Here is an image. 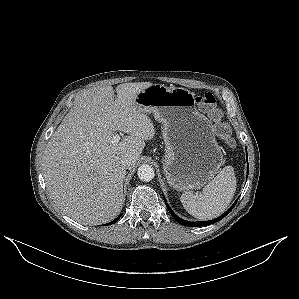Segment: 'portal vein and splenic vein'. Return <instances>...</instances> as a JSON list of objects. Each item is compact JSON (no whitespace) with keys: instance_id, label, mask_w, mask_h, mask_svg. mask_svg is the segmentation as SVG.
<instances>
[{"instance_id":"1","label":"portal vein and splenic vein","mask_w":299,"mask_h":299,"mask_svg":"<svg viewBox=\"0 0 299 299\" xmlns=\"http://www.w3.org/2000/svg\"><path fill=\"white\" fill-rule=\"evenodd\" d=\"M119 140H120V135H118V134L114 135L112 138V144L118 143Z\"/></svg>"}]
</instances>
